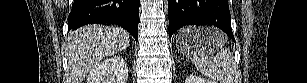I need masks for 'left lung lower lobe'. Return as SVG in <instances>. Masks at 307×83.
<instances>
[{
  "label": "left lung lower lobe",
  "mask_w": 307,
  "mask_h": 83,
  "mask_svg": "<svg viewBox=\"0 0 307 83\" xmlns=\"http://www.w3.org/2000/svg\"><path fill=\"white\" fill-rule=\"evenodd\" d=\"M169 37L186 25H213L234 40L227 0H168Z\"/></svg>",
  "instance_id": "left-lung-lower-lobe-1"
}]
</instances>
